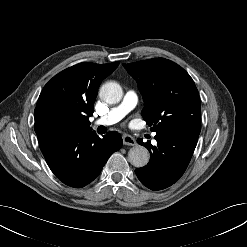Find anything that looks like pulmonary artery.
<instances>
[{
  "label": "pulmonary artery",
  "mask_w": 247,
  "mask_h": 247,
  "mask_svg": "<svg viewBox=\"0 0 247 247\" xmlns=\"http://www.w3.org/2000/svg\"><path fill=\"white\" fill-rule=\"evenodd\" d=\"M137 101V96L133 91L127 92L122 102L118 106L110 109L105 115L96 119L94 125L109 126L119 122L126 114L135 108Z\"/></svg>",
  "instance_id": "1"
}]
</instances>
